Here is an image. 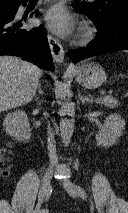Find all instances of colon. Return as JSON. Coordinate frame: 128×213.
I'll list each match as a JSON object with an SVG mask.
<instances>
[{
    "mask_svg": "<svg viewBox=\"0 0 128 213\" xmlns=\"http://www.w3.org/2000/svg\"><path fill=\"white\" fill-rule=\"evenodd\" d=\"M12 153L9 148L1 147L0 148V174H8V162L10 161Z\"/></svg>",
    "mask_w": 128,
    "mask_h": 213,
    "instance_id": "1",
    "label": "colon"
}]
</instances>
